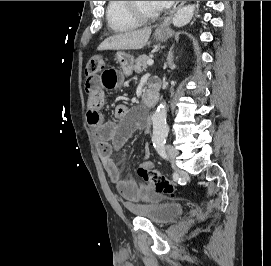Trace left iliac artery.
I'll list each match as a JSON object with an SVG mask.
<instances>
[{
  "label": "left iliac artery",
  "instance_id": "1",
  "mask_svg": "<svg viewBox=\"0 0 271 266\" xmlns=\"http://www.w3.org/2000/svg\"><path fill=\"white\" fill-rule=\"evenodd\" d=\"M165 143L166 140H160L158 141L154 146L156 147V150L158 153L163 157L166 158V152H165Z\"/></svg>",
  "mask_w": 271,
  "mask_h": 266
}]
</instances>
